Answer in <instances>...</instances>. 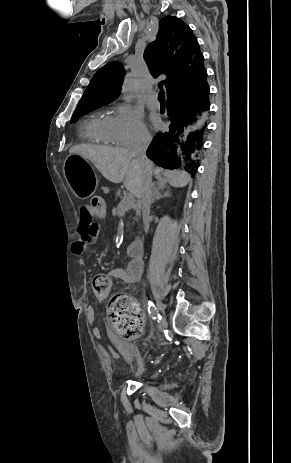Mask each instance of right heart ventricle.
I'll use <instances>...</instances> for the list:
<instances>
[{
	"label": "right heart ventricle",
	"instance_id": "obj_1",
	"mask_svg": "<svg viewBox=\"0 0 291 463\" xmlns=\"http://www.w3.org/2000/svg\"><path fill=\"white\" fill-rule=\"evenodd\" d=\"M112 116L100 114L86 120L80 133L84 140L105 145L116 144L111 130Z\"/></svg>",
	"mask_w": 291,
	"mask_h": 463
}]
</instances>
